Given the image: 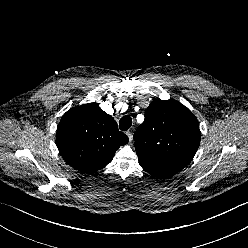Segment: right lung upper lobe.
I'll return each instance as SVG.
<instances>
[{
  "label": "right lung upper lobe",
  "mask_w": 248,
  "mask_h": 248,
  "mask_svg": "<svg viewBox=\"0 0 248 248\" xmlns=\"http://www.w3.org/2000/svg\"><path fill=\"white\" fill-rule=\"evenodd\" d=\"M128 141L113 117L97 103L71 108L62 117L56 132L63 159L84 173L96 172L109 164L115 151Z\"/></svg>",
  "instance_id": "obj_1"
}]
</instances>
